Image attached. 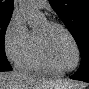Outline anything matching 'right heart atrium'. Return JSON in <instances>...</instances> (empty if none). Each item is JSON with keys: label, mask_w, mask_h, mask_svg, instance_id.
I'll return each instance as SVG.
<instances>
[{"label": "right heart atrium", "mask_w": 89, "mask_h": 89, "mask_svg": "<svg viewBox=\"0 0 89 89\" xmlns=\"http://www.w3.org/2000/svg\"><path fill=\"white\" fill-rule=\"evenodd\" d=\"M31 44V31L24 19L14 13L8 23L4 35V49L8 59L16 64L29 51Z\"/></svg>", "instance_id": "obj_1"}]
</instances>
